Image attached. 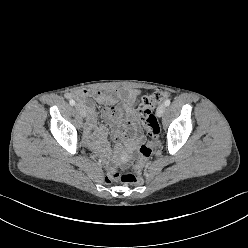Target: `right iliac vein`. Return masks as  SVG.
I'll list each match as a JSON object with an SVG mask.
<instances>
[{
	"instance_id": "1",
	"label": "right iliac vein",
	"mask_w": 248,
	"mask_h": 248,
	"mask_svg": "<svg viewBox=\"0 0 248 248\" xmlns=\"http://www.w3.org/2000/svg\"><path fill=\"white\" fill-rule=\"evenodd\" d=\"M75 107H76V110L80 113V115L85 118L86 117V108H85V106L82 103H77L75 105Z\"/></svg>"
}]
</instances>
